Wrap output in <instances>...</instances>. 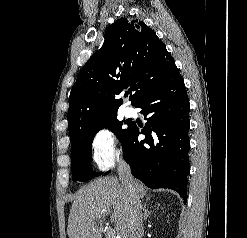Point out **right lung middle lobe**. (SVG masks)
Segmentation results:
<instances>
[{"mask_svg":"<svg viewBox=\"0 0 247 238\" xmlns=\"http://www.w3.org/2000/svg\"><path fill=\"white\" fill-rule=\"evenodd\" d=\"M122 125V121H119L115 116L90 128L74 145L71 146V168L73 181H86L94 176L101 175V173H94L90 166L93 138L101 128L106 127L117 135L123 146L125 138L129 132V125L126 129H123Z\"/></svg>","mask_w":247,"mask_h":238,"instance_id":"right-lung-middle-lobe-1","label":"right lung middle lobe"}]
</instances>
